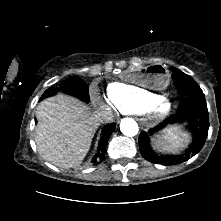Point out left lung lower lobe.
Here are the masks:
<instances>
[{"label": "left lung lower lobe", "instance_id": "obj_1", "mask_svg": "<svg viewBox=\"0 0 221 221\" xmlns=\"http://www.w3.org/2000/svg\"><path fill=\"white\" fill-rule=\"evenodd\" d=\"M186 123L187 128L193 136L192 143L181 155H160L155 153L150 146L151 136L160 133L171 124ZM209 129V114L205 95L203 93L184 97L175 114L167 118L163 123L150 129L147 132H141L138 138L140 152L142 156L156 164L175 165L187 161L190 157L196 155L204 146ZM166 160V162H164Z\"/></svg>", "mask_w": 221, "mask_h": 221}]
</instances>
